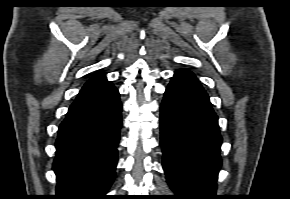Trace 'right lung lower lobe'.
<instances>
[{
  "mask_svg": "<svg viewBox=\"0 0 290 199\" xmlns=\"http://www.w3.org/2000/svg\"><path fill=\"white\" fill-rule=\"evenodd\" d=\"M121 127L118 90L104 81L79 92L60 124L53 170L55 199H106Z\"/></svg>",
  "mask_w": 290,
  "mask_h": 199,
  "instance_id": "right-lung-lower-lobe-1",
  "label": "right lung lower lobe"
}]
</instances>
